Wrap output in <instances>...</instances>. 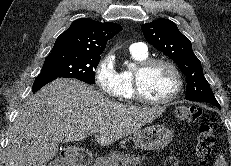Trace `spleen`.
Wrapping results in <instances>:
<instances>
[{
	"label": "spleen",
	"instance_id": "obj_1",
	"mask_svg": "<svg viewBox=\"0 0 231 166\" xmlns=\"http://www.w3.org/2000/svg\"><path fill=\"white\" fill-rule=\"evenodd\" d=\"M215 165L216 166H226V162H225V160H224V157L223 156H220L219 158H218V160L215 162Z\"/></svg>",
	"mask_w": 231,
	"mask_h": 166
}]
</instances>
